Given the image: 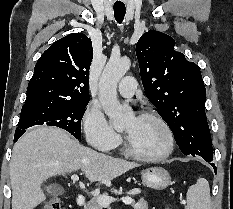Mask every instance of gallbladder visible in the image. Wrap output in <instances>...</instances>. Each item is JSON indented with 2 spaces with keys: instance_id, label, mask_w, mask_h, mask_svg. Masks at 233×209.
Here are the masks:
<instances>
[{
  "instance_id": "1",
  "label": "gallbladder",
  "mask_w": 233,
  "mask_h": 209,
  "mask_svg": "<svg viewBox=\"0 0 233 209\" xmlns=\"http://www.w3.org/2000/svg\"><path fill=\"white\" fill-rule=\"evenodd\" d=\"M63 192L64 190L61 186H50L49 193L51 195H61Z\"/></svg>"
}]
</instances>
